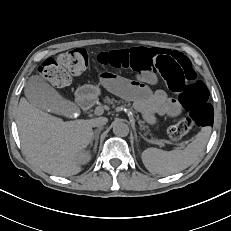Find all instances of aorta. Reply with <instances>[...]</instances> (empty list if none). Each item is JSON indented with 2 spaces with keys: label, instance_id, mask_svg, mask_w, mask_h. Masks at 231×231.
Instances as JSON below:
<instances>
[{
  "label": "aorta",
  "instance_id": "762f6f07",
  "mask_svg": "<svg viewBox=\"0 0 231 231\" xmlns=\"http://www.w3.org/2000/svg\"><path fill=\"white\" fill-rule=\"evenodd\" d=\"M113 133L117 136L125 137L129 133V127L124 122L116 121L113 124Z\"/></svg>",
  "mask_w": 231,
  "mask_h": 231
}]
</instances>
